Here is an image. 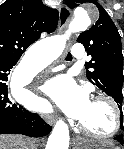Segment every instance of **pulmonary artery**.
I'll use <instances>...</instances> for the list:
<instances>
[{
  "mask_svg": "<svg viewBox=\"0 0 124 149\" xmlns=\"http://www.w3.org/2000/svg\"><path fill=\"white\" fill-rule=\"evenodd\" d=\"M71 53L73 55V57L75 59H78V60H81L84 58L85 56V48H84V45L81 44V43H76L72 49H71ZM64 66L63 65H59V66H56L53 68V71H59L61 69H63Z\"/></svg>",
  "mask_w": 124,
  "mask_h": 149,
  "instance_id": "e3ab8cb5",
  "label": "pulmonary artery"
}]
</instances>
